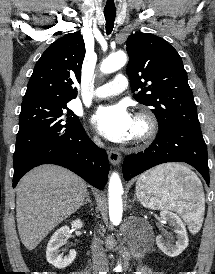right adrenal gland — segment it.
Listing matches in <instances>:
<instances>
[{
    "label": "right adrenal gland",
    "instance_id": "1",
    "mask_svg": "<svg viewBox=\"0 0 215 274\" xmlns=\"http://www.w3.org/2000/svg\"><path fill=\"white\" fill-rule=\"evenodd\" d=\"M90 203L92 204L91 200H90V196H89V192L86 193V199L84 200V202L82 203V206H84L85 204Z\"/></svg>",
    "mask_w": 215,
    "mask_h": 274
}]
</instances>
